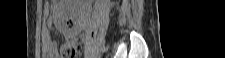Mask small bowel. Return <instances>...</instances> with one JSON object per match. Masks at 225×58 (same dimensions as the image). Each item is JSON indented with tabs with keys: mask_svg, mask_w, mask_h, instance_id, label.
Listing matches in <instances>:
<instances>
[{
	"mask_svg": "<svg viewBox=\"0 0 225 58\" xmlns=\"http://www.w3.org/2000/svg\"><path fill=\"white\" fill-rule=\"evenodd\" d=\"M53 19L52 18H47L46 19V25L44 28V41L42 45L43 52L49 57V58H55L57 57L56 54L58 51L62 50L63 46L70 44V43H76L77 38H76V31H68L65 33V43L64 45L59 48L57 43L53 40L51 33H50V28L53 26Z\"/></svg>",
	"mask_w": 225,
	"mask_h": 58,
	"instance_id": "obj_1",
	"label": "small bowel"
}]
</instances>
